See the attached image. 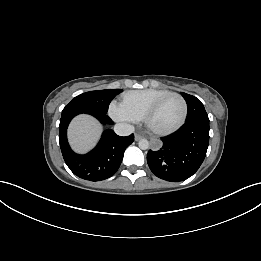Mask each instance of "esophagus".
Wrapping results in <instances>:
<instances>
[{"label": "esophagus", "mask_w": 261, "mask_h": 261, "mask_svg": "<svg viewBox=\"0 0 261 261\" xmlns=\"http://www.w3.org/2000/svg\"><path fill=\"white\" fill-rule=\"evenodd\" d=\"M143 137L139 134H135V141L141 140Z\"/></svg>", "instance_id": "esophagus-1"}]
</instances>
